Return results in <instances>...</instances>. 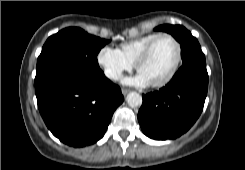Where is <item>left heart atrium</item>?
I'll use <instances>...</instances> for the list:
<instances>
[{"mask_svg":"<svg viewBox=\"0 0 245 170\" xmlns=\"http://www.w3.org/2000/svg\"><path fill=\"white\" fill-rule=\"evenodd\" d=\"M124 83H126V84H135V85L142 86V85H146L148 83V81L142 74L139 73L133 79H130V78L124 79Z\"/></svg>","mask_w":245,"mask_h":170,"instance_id":"left-heart-atrium-1","label":"left heart atrium"}]
</instances>
